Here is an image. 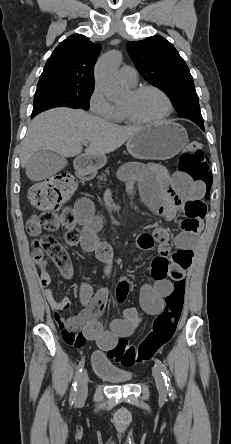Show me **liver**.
<instances>
[{"label": "liver", "mask_w": 231, "mask_h": 444, "mask_svg": "<svg viewBox=\"0 0 231 444\" xmlns=\"http://www.w3.org/2000/svg\"><path fill=\"white\" fill-rule=\"evenodd\" d=\"M143 127L118 126L83 110L54 108L37 115L30 123L21 145V166L38 151H52L61 157H74L89 142L86 156H105L121 147Z\"/></svg>", "instance_id": "1"}]
</instances>
